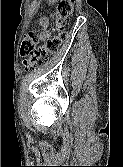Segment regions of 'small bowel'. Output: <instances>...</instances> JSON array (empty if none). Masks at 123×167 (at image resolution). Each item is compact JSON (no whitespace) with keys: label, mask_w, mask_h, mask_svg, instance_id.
I'll return each mask as SVG.
<instances>
[{"label":"small bowel","mask_w":123,"mask_h":167,"mask_svg":"<svg viewBox=\"0 0 123 167\" xmlns=\"http://www.w3.org/2000/svg\"><path fill=\"white\" fill-rule=\"evenodd\" d=\"M40 25L42 27V32H41V39L44 40L50 35V31L48 30V25L49 21L46 17L40 18Z\"/></svg>","instance_id":"1"}]
</instances>
